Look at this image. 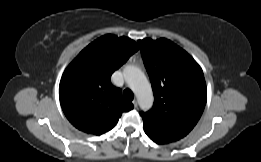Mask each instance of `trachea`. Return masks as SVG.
<instances>
[{"label": "trachea", "instance_id": "obj_1", "mask_svg": "<svg viewBox=\"0 0 261 162\" xmlns=\"http://www.w3.org/2000/svg\"><path fill=\"white\" fill-rule=\"evenodd\" d=\"M123 97L127 101H132L134 99L133 92L130 89H125L124 90Z\"/></svg>", "mask_w": 261, "mask_h": 162}]
</instances>
